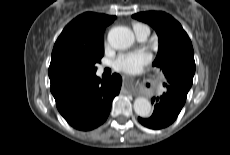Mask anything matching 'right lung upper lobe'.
Returning <instances> with one entry per match:
<instances>
[{
	"mask_svg": "<svg viewBox=\"0 0 230 155\" xmlns=\"http://www.w3.org/2000/svg\"><path fill=\"white\" fill-rule=\"evenodd\" d=\"M116 16L86 12L73 19L55 42L51 63L68 54H88L104 49V31Z\"/></svg>",
	"mask_w": 230,
	"mask_h": 155,
	"instance_id": "right-lung-upper-lobe-1",
	"label": "right lung upper lobe"
}]
</instances>
